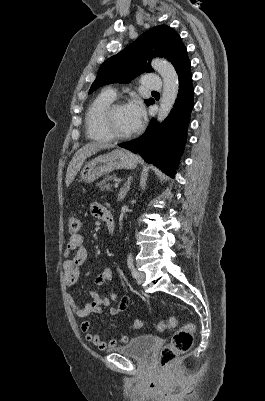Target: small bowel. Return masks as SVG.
I'll list each match as a JSON object with an SVG mask.
<instances>
[{"label":"small bowel","mask_w":265,"mask_h":401,"mask_svg":"<svg viewBox=\"0 0 265 401\" xmlns=\"http://www.w3.org/2000/svg\"><path fill=\"white\" fill-rule=\"evenodd\" d=\"M90 211L94 217L103 219L106 209L99 203H92ZM63 254L66 258L63 263L64 284L67 287H71L77 283L80 275V267L86 262L88 256L87 250L84 246L83 236L80 234L72 235L68 239L66 249L64 250ZM111 279L112 270L108 267H105L97 275L95 283L99 287H105L108 282L111 281ZM67 301L71 306L74 315L79 319H84L94 313H101L103 311V307L108 306H110V314L112 316H118L129 305V300L127 297H123L118 301L117 294L110 290L104 295L97 291H91L89 301L83 306L77 305L70 294H67ZM114 303L116 304L112 305ZM124 305H126L125 309L122 308ZM80 329L84 334L86 341L94 344L100 350L112 349L119 344H125L128 342V337L124 335L110 341L102 340L98 333L91 331V324L88 321H82Z\"/></svg>","instance_id":"1"}]
</instances>
